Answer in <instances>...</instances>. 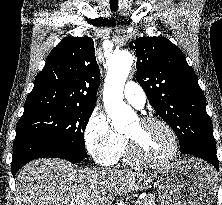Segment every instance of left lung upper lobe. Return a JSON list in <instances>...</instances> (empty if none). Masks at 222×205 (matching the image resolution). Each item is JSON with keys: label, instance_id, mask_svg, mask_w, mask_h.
I'll return each mask as SVG.
<instances>
[{"label": "left lung upper lobe", "instance_id": "5c2ea615", "mask_svg": "<svg viewBox=\"0 0 222 205\" xmlns=\"http://www.w3.org/2000/svg\"><path fill=\"white\" fill-rule=\"evenodd\" d=\"M129 46L136 50V80L154 110L175 131L180 151L216 155L205 96L182 51L164 37H141Z\"/></svg>", "mask_w": 222, "mask_h": 205}]
</instances>
